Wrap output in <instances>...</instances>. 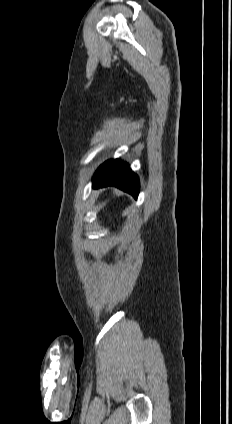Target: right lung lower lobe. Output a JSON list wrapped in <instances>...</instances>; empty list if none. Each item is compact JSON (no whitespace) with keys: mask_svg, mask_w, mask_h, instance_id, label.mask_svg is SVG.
I'll use <instances>...</instances> for the list:
<instances>
[{"mask_svg":"<svg viewBox=\"0 0 232 424\" xmlns=\"http://www.w3.org/2000/svg\"><path fill=\"white\" fill-rule=\"evenodd\" d=\"M115 186L137 198L139 180L128 164L121 160H109L102 164L93 177V187Z\"/></svg>","mask_w":232,"mask_h":424,"instance_id":"1","label":"right lung lower lobe"}]
</instances>
